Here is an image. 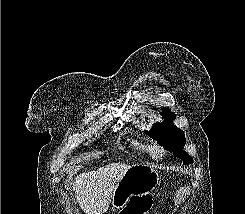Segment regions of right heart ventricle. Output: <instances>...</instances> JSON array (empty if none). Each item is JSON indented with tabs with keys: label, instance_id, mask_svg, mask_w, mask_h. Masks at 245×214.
Returning a JSON list of instances; mask_svg holds the SVG:
<instances>
[{
	"label": "right heart ventricle",
	"instance_id": "e07e8e85",
	"mask_svg": "<svg viewBox=\"0 0 245 214\" xmlns=\"http://www.w3.org/2000/svg\"><path fill=\"white\" fill-rule=\"evenodd\" d=\"M132 145L139 149V150H142L144 152H147V153H150V145L145 143V142H141V141H138V140H132Z\"/></svg>",
	"mask_w": 245,
	"mask_h": 214
}]
</instances>
